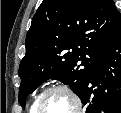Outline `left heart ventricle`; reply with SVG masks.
Listing matches in <instances>:
<instances>
[{
  "mask_svg": "<svg viewBox=\"0 0 121 113\" xmlns=\"http://www.w3.org/2000/svg\"><path fill=\"white\" fill-rule=\"evenodd\" d=\"M73 109V102L63 92L49 95L42 103V110L47 112H67Z\"/></svg>",
  "mask_w": 121,
  "mask_h": 113,
  "instance_id": "1",
  "label": "left heart ventricle"
}]
</instances>
